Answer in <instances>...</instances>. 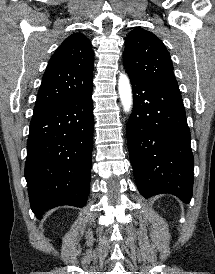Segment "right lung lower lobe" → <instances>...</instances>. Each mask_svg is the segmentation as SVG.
Returning <instances> with one entry per match:
<instances>
[{
	"mask_svg": "<svg viewBox=\"0 0 215 274\" xmlns=\"http://www.w3.org/2000/svg\"><path fill=\"white\" fill-rule=\"evenodd\" d=\"M92 85L34 114L27 141L25 178L31 209L83 207L90 190L93 140Z\"/></svg>",
	"mask_w": 215,
	"mask_h": 274,
	"instance_id": "obj_1",
	"label": "right lung lower lobe"
}]
</instances>
